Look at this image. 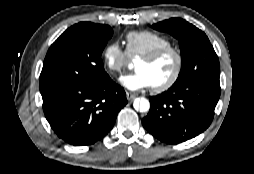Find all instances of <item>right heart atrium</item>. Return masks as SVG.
<instances>
[{
    "instance_id": "d8ad5b80",
    "label": "right heart atrium",
    "mask_w": 254,
    "mask_h": 174,
    "mask_svg": "<svg viewBox=\"0 0 254 174\" xmlns=\"http://www.w3.org/2000/svg\"><path fill=\"white\" fill-rule=\"evenodd\" d=\"M105 67L113 73L121 72L129 63V55L118 42L109 43L103 51Z\"/></svg>"
}]
</instances>
